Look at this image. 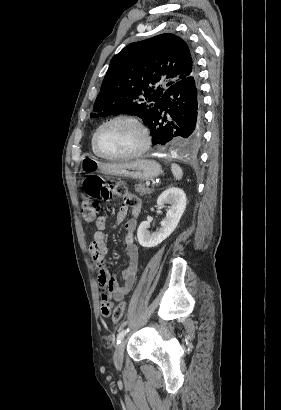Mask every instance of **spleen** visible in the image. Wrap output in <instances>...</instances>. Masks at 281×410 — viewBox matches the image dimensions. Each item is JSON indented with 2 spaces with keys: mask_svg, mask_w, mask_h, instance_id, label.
I'll use <instances>...</instances> for the list:
<instances>
[{
  "mask_svg": "<svg viewBox=\"0 0 281 410\" xmlns=\"http://www.w3.org/2000/svg\"><path fill=\"white\" fill-rule=\"evenodd\" d=\"M171 171L175 177L176 180H180L183 176V171L181 167L177 164H172L171 165Z\"/></svg>",
  "mask_w": 281,
  "mask_h": 410,
  "instance_id": "spleen-1",
  "label": "spleen"
}]
</instances>
